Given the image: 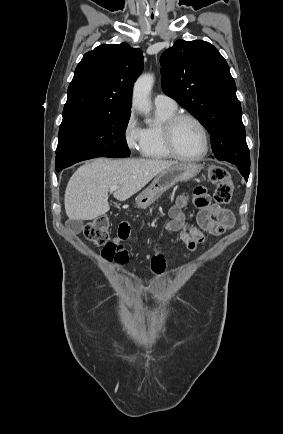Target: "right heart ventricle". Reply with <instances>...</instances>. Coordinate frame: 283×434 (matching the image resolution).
Here are the masks:
<instances>
[{"instance_id": "obj_1", "label": "right heart ventricle", "mask_w": 283, "mask_h": 434, "mask_svg": "<svg viewBox=\"0 0 283 434\" xmlns=\"http://www.w3.org/2000/svg\"><path fill=\"white\" fill-rule=\"evenodd\" d=\"M175 113L176 109L156 108V122L143 129V142L140 149L142 156L155 160L172 157L164 144L163 125Z\"/></svg>"}]
</instances>
